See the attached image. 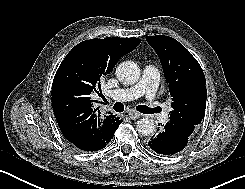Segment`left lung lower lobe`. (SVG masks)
I'll return each instance as SVG.
<instances>
[{
    "instance_id": "obj_1",
    "label": "left lung lower lobe",
    "mask_w": 245,
    "mask_h": 189,
    "mask_svg": "<svg viewBox=\"0 0 245 189\" xmlns=\"http://www.w3.org/2000/svg\"><path fill=\"white\" fill-rule=\"evenodd\" d=\"M174 132H171L167 126L157 130L148 142V146L156 153L163 155H173L180 152L188 143L189 138L176 137Z\"/></svg>"
}]
</instances>
